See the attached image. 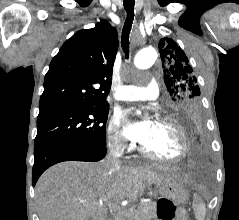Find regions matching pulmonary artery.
<instances>
[{"instance_id":"1","label":"pulmonary artery","mask_w":239,"mask_h":220,"mask_svg":"<svg viewBox=\"0 0 239 220\" xmlns=\"http://www.w3.org/2000/svg\"><path fill=\"white\" fill-rule=\"evenodd\" d=\"M159 86L156 80H150L146 85H125L118 87L115 98L121 101L154 100L158 97Z\"/></svg>"}]
</instances>
